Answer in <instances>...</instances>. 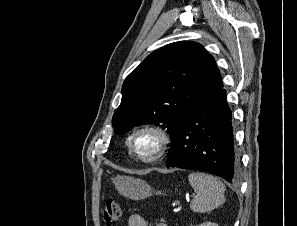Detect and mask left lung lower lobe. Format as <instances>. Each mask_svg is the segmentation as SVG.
Returning <instances> with one entry per match:
<instances>
[{
	"label": "left lung lower lobe",
	"instance_id": "left-lung-lower-lobe-1",
	"mask_svg": "<svg viewBox=\"0 0 297 226\" xmlns=\"http://www.w3.org/2000/svg\"><path fill=\"white\" fill-rule=\"evenodd\" d=\"M221 88L205 94L183 120L168 151L167 168L209 172L228 182L238 179L231 110Z\"/></svg>",
	"mask_w": 297,
	"mask_h": 226
}]
</instances>
